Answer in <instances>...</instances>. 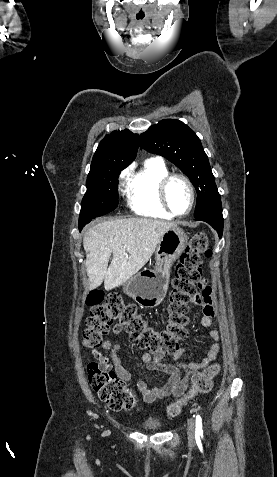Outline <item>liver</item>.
I'll list each match as a JSON object with an SVG mask.
<instances>
[{
    "label": "liver",
    "mask_w": 277,
    "mask_h": 477,
    "mask_svg": "<svg viewBox=\"0 0 277 477\" xmlns=\"http://www.w3.org/2000/svg\"><path fill=\"white\" fill-rule=\"evenodd\" d=\"M175 226L150 218L117 219L90 226L83 237L88 289L99 287L103 281L107 289L123 285L149 261L164 233Z\"/></svg>",
    "instance_id": "obj_1"
}]
</instances>
